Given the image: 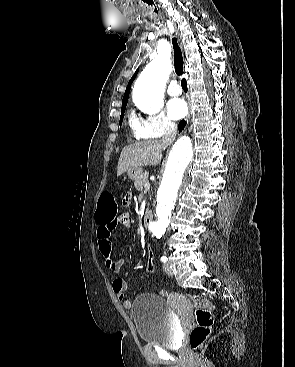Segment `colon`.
<instances>
[{
  "instance_id": "5ec220e1",
  "label": "colon",
  "mask_w": 295,
  "mask_h": 367,
  "mask_svg": "<svg viewBox=\"0 0 295 367\" xmlns=\"http://www.w3.org/2000/svg\"><path fill=\"white\" fill-rule=\"evenodd\" d=\"M125 205V200L123 202ZM118 204L114 197L110 193H104L99 200V206L97 211V220L99 222H109L118 218ZM156 269V264L153 263V254L151 251L148 253V271L153 272ZM191 300L196 309L197 325L192 329L190 333V345L193 349H200L205 340L211 333L213 325V304L203 295L193 294Z\"/></svg>"
}]
</instances>
